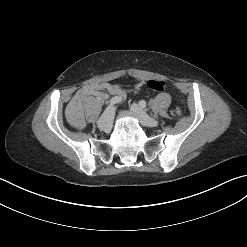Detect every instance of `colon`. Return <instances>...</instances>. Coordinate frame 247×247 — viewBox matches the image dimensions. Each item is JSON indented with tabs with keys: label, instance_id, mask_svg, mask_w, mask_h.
Instances as JSON below:
<instances>
[{
	"label": "colon",
	"instance_id": "colon-1",
	"mask_svg": "<svg viewBox=\"0 0 247 247\" xmlns=\"http://www.w3.org/2000/svg\"><path fill=\"white\" fill-rule=\"evenodd\" d=\"M147 86L149 89L157 92H161L169 89V84L160 80H150L148 81ZM179 113H180V108L177 107L175 109V114L178 115Z\"/></svg>",
	"mask_w": 247,
	"mask_h": 247
}]
</instances>
